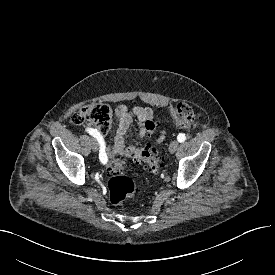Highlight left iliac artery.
Listing matches in <instances>:
<instances>
[{"mask_svg":"<svg viewBox=\"0 0 275 275\" xmlns=\"http://www.w3.org/2000/svg\"><path fill=\"white\" fill-rule=\"evenodd\" d=\"M177 140H178L179 142H184V141L186 140L185 134L180 133V134L177 136Z\"/></svg>","mask_w":275,"mask_h":275,"instance_id":"left-iliac-artery-1","label":"left iliac artery"}]
</instances>
